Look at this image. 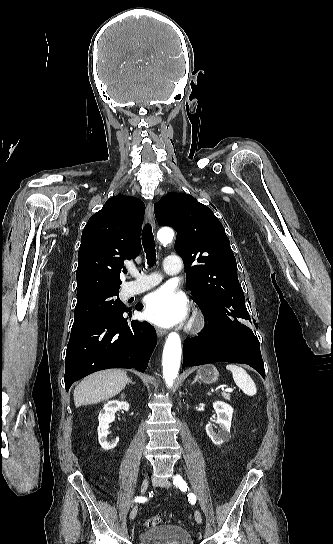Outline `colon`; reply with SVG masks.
Returning a JSON list of instances; mask_svg holds the SVG:
<instances>
[{"label": "colon", "instance_id": "1", "mask_svg": "<svg viewBox=\"0 0 333 544\" xmlns=\"http://www.w3.org/2000/svg\"><path fill=\"white\" fill-rule=\"evenodd\" d=\"M163 522H165V519L162 516H152L145 520V525L148 528H152L160 525Z\"/></svg>", "mask_w": 333, "mask_h": 544}]
</instances>
